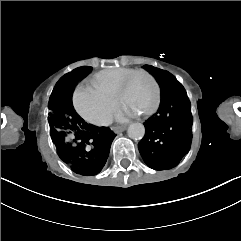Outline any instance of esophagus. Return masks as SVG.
<instances>
[{
    "label": "esophagus",
    "instance_id": "obj_1",
    "mask_svg": "<svg viewBox=\"0 0 241 241\" xmlns=\"http://www.w3.org/2000/svg\"><path fill=\"white\" fill-rule=\"evenodd\" d=\"M125 130H126L125 126H119V127H114L113 128L114 133H120V132H123Z\"/></svg>",
    "mask_w": 241,
    "mask_h": 241
}]
</instances>
